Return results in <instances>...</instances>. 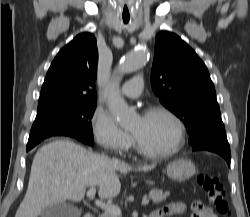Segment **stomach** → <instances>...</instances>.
I'll return each mask as SVG.
<instances>
[{"label": "stomach", "instance_id": "stomach-1", "mask_svg": "<svg viewBox=\"0 0 250 217\" xmlns=\"http://www.w3.org/2000/svg\"><path fill=\"white\" fill-rule=\"evenodd\" d=\"M166 171L170 179L185 181L194 175L195 165L188 159H179L170 163Z\"/></svg>", "mask_w": 250, "mask_h": 217}]
</instances>
